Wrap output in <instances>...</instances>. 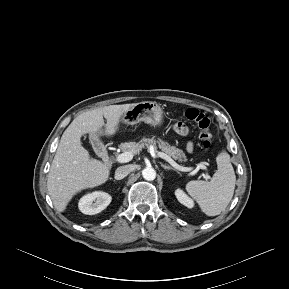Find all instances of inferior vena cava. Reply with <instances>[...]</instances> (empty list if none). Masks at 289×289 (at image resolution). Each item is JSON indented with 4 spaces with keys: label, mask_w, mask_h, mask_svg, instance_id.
Segmentation results:
<instances>
[{
    "label": "inferior vena cava",
    "mask_w": 289,
    "mask_h": 289,
    "mask_svg": "<svg viewBox=\"0 0 289 289\" xmlns=\"http://www.w3.org/2000/svg\"><path fill=\"white\" fill-rule=\"evenodd\" d=\"M133 170H134V167L132 165H125V166L118 167L115 171V178L117 180L123 179Z\"/></svg>",
    "instance_id": "inferior-vena-cava-1"
}]
</instances>
